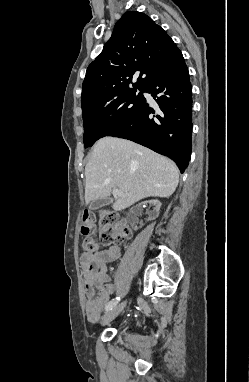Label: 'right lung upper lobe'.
I'll return each instance as SVG.
<instances>
[{
	"label": "right lung upper lobe",
	"mask_w": 249,
	"mask_h": 382,
	"mask_svg": "<svg viewBox=\"0 0 249 382\" xmlns=\"http://www.w3.org/2000/svg\"><path fill=\"white\" fill-rule=\"evenodd\" d=\"M182 57L176 44L150 17L137 11L124 13L101 54L87 68L82 108L143 89L157 72ZM137 72V82L129 88Z\"/></svg>",
	"instance_id": "obj_1"
}]
</instances>
